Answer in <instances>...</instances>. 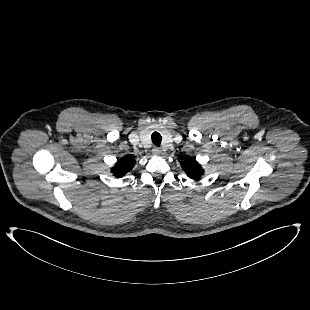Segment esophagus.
<instances>
[{"mask_svg": "<svg viewBox=\"0 0 310 310\" xmlns=\"http://www.w3.org/2000/svg\"><path fill=\"white\" fill-rule=\"evenodd\" d=\"M152 154L153 155H155V156H158V155H160L161 154V150H160V148H153L152 149Z\"/></svg>", "mask_w": 310, "mask_h": 310, "instance_id": "1", "label": "esophagus"}]
</instances>
